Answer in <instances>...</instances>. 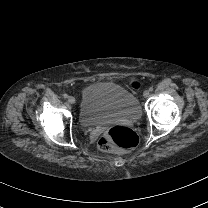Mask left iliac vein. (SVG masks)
<instances>
[{
    "instance_id": "left-iliac-vein-1",
    "label": "left iliac vein",
    "mask_w": 208,
    "mask_h": 208,
    "mask_svg": "<svg viewBox=\"0 0 208 208\" xmlns=\"http://www.w3.org/2000/svg\"><path fill=\"white\" fill-rule=\"evenodd\" d=\"M149 95H150V92H149L148 90H145V91L143 92V96H144L145 98L149 97Z\"/></svg>"
}]
</instances>
